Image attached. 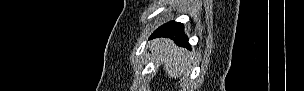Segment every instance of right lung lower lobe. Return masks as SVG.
I'll list each match as a JSON object with an SVG mask.
<instances>
[{
	"instance_id": "right-lung-lower-lobe-1",
	"label": "right lung lower lobe",
	"mask_w": 304,
	"mask_h": 91,
	"mask_svg": "<svg viewBox=\"0 0 304 91\" xmlns=\"http://www.w3.org/2000/svg\"><path fill=\"white\" fill-rule=\"evenodd\" d=\"M157 37H169L182 47H190L188 43V38L184 34L183 26L181 23H177L171 21L159 27L154 33L152 34L151 38Z\"/></svg>"
}]
</instances>
